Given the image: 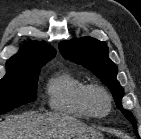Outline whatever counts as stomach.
I'll return each mask as SVG.
<instances>
[{
	"instance_id": "stomach-1",
	"label": "stomach",
	"mask_w": 141,
	"mask_h": 139,
	"mask_svg": "<svg viewBox=\"0 0 141 139\" xmlns=\"http://www.w3.org/2000/svg\"><path fill=\"white\" fill-rule=\"evenodd\" d=\"M73 139H104V138L100 133L91 130L77 133Z\"/></svg>"
}]
</instances>
